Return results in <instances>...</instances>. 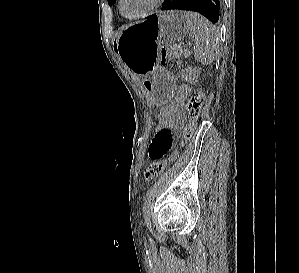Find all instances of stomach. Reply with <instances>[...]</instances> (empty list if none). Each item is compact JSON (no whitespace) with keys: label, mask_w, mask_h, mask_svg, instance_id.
Returning <instances> with one entry per match:
<instances>
[{"label":"stomach","mask_w":299,"mask_h":273,"mask_svg":"<svg viewBox=\"0 0 299 273\" xmlns=\"http://www.w3.org/2000/svg\"><path fill=\"white\" fill-rule=\"evenodd\" d=\"M189 32L184 13L167 11L124 29L116 41L122 62L140 75L142 88L154 103L168 101L173 90V77L161 69L163 44L180 41Z\"/></svg>","instance_id":"obj_1"}]
</instances>
